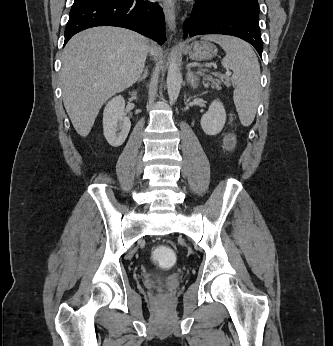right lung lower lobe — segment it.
Listing matches in <instances>:
<instances>
[{
  "label": "right lung lower lobe",
  "instance_id": "1",
  "mask_svg": "<svg viewBox=\"0 0 333 346\" xmlns=\"http://www.w3.org/2000/svg\"><path fill=\"white\" fill-rule=\"evenodd\" d=\"M96 26H117L136 31L159 44L166 40L164 13L148 0H75L65 28V41Z\"/></svg>",
  "mask_w": 333,
  "mask_h": 346
}]
</instances>
